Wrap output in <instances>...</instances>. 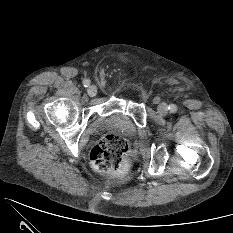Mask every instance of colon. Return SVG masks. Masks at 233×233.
Instances as JSON below:
<instances>
[{"instance_id":"obj_1","label":"colon","mask_w":233,"mask_h":233,"mask_svg":"<svg viewBox=\"0 0 233 233\" xmlns=\"http://www.w3.org/2000/svg\"><path fill=\"white\" fill-rule=\"evenodd\" d=\"M129 144L119 135H105L92 148L90 161L93 168L105 175H115L128 165Z\"/></svg>"}]
</instances>
